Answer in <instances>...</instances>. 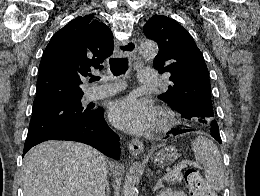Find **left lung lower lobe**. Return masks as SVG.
Wrapping results in <instances>:
<instances>
[{"label":"left lung lower lobe","instance_id":"obj_1","mask_svg":"<svg viewBox=\"0 0 260 196\" xmlns=\"http://www.w3.org/2000/svg\"><path fill=\"white\" fill-rule=\"evenodd\" d=\"M189 116L194 117V118L204 119V118H210V117L215 116V113L213 111V108L200 107V108H195L191 112H189ZM189 131H194V129L171 130V131L168 132V134L178 135V134L189 132ZM211 135L220 144L222 143L221 138H220V134H219V127H218L217 121H214L211 125Z\"/></svg>","mask_w":260,"mask_h":196}]
</instances>
